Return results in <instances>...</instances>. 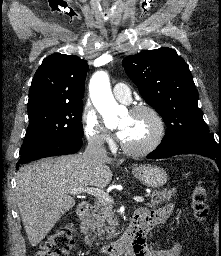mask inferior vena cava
Here are the masks:
<instances>
[{
	"instance_id": "602c4592",
	"label": "inferior vena cava",
	"mask_w": 221,
	"mask_h": 256,
	"mask_svg": "<svg viewBox=\"0 0 221 256\" xmlns=\"http://www.w3.org/2000/svg\"><path fill=\"white\" fill-rule=\"evenodd\" d=\"M84 156L95 163H100L107 159V152L103 144V140L99 136L90 137L88 145L84 152Z\"/></svg>"
}]
</instances>
